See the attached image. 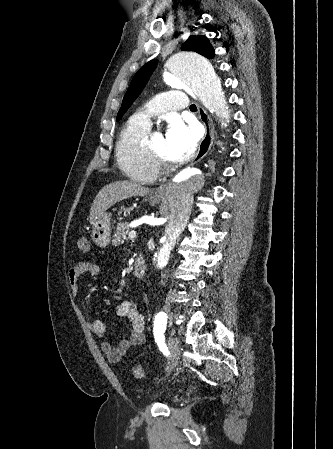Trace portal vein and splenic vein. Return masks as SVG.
I'll return each mask as SVG.
<instances>
[{
	"label": "portal vein and splenic vein",
	"instance_id": "1",
	"mask_svg": "<svg viewBox=\"0 0 333 449\" xmlns=\"http://www.w3.org/2000/svg\"><path fill=\"white\" fill-rule=\"evenodd\" d=\"M136 236H137V233H136V231H130L129 232V234H128V237L130 238V239H134V238H136Z\"/></svg>",
	"mask_w": 333,
	"mask_h": 449
}]
</instances>
